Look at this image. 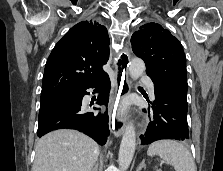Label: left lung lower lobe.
Listing matches in <instances>:
<instances>
[{
  "label": "left lung lower lobe",
  "instance_id": "obj_1",
  "mask_svg": "<svg viewBox=\"0 0 223 171\" xmlns=\"http://www.w3.org/2000/svg\"><path fill=\"white\" fill-rule=\"evenodd\" d=\"M155 100L148 110L150 123L147 132L140 136V144L147 145L157 140L189 139L187 124V99L179 91L162 84L154 83Z\"/></svg>",
  "mask_w": 223,
  "mask_h": 171
}]
</instances>
